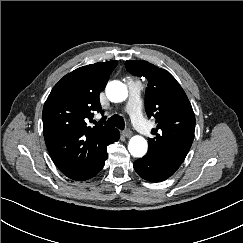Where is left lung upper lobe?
<instances>
[{"label":"left lung upper lobe","instance_id":"obj_1","mask_svg":"<svg viewBox=\"0 0 243 243\" xmlns=\"http://www.w3.org/2000/svg\"><path fill=\"white\" fill-rule=\"evenodd\" d=\"M129 72L148 80L145 109L149 118L156 119L154 138L148 139L146 155L179 168L189 152L195 131L192 106L176 79L166 70L144 60L126 61Z\"/></svg>","mask_w":243,"mask_h":243}]
</instances>
